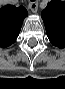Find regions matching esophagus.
<instances>
[{
    "label": "esophagus",
    "mask_w": 65,
    "mask_h": 89,
    "mask_svg": "<svg viewBox=\"0 0 65 89\" xmlns=\"http://www.w3.org/2000/svg\"><path fill=\"white\" fill-rule=\"evenodd\" d=\"M29 8L33 13H36L37 9H38V2L37 1H31L29 3Z\"/></svg>",
    "instance_id": "34e87169"
}]
</instances>
